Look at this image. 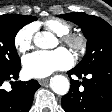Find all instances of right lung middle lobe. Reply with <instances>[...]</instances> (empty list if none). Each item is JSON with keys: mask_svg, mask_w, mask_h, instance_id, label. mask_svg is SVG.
<instances>
[{"mask_svg": "<svg viewBox=\"0 0 112 112\" xmlns=\"http://www.w3.org/2000/svg\"><path fill=\"white\" fill-rule=\"evenodd\" d=\"M37 20L34 16L5 14L0 16V76L20 63L15 48V36L26 24Z\"/></svg>", "mask_w": 112, "mask_h": 112, "instance_id": "right-lung-middle-lobe-1", "label": "right lung middle lobe"}]
</instances>
